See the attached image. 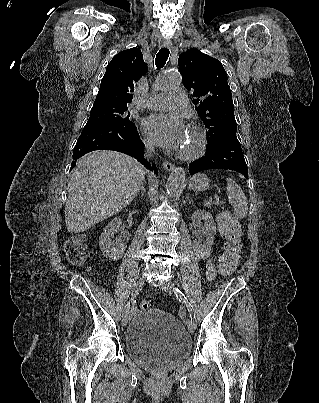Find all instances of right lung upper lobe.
I'll use <instances>...</instances> for the list:
<instances>
[{
    "mask_svg": "<svg viewBox=\"0 0 319 403\" xmlns=\"http://www.w3.org/2000/svg\"><path fill=\"white\" fill-rule=\"evenodd\" d=\"M146 71L140 48L118 53L107 65L95 102L129 105L133 99L131 92Z\"/></svg>",
    "mask_w": 319,
    "mask_h": 403,
    "instance_id": "1",
    "label": "right lung upper lobe"
}]
</instances>
